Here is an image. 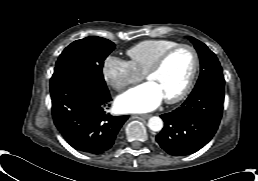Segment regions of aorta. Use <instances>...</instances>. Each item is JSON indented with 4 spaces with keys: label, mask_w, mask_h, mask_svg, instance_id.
I'll list each match as a JSON object with an SVG mask.
<instances>
[{
    "label": "aorta",
    "mask_w": 258,
    "mask_h": 181,
    "mask_svg": "<svg viewBox=\"0 0 258 181\" xmlns=\"http://www.w3.org/2000/svg\"><path fill=\"white\" fill-rule=\"evenodd\" d=\"M148 127L152 131H160L163 128V121L160 117L158 116H153L148 120Z\"/></svg>",
    "instance_id": "aorta-1"
}]
</instances>
